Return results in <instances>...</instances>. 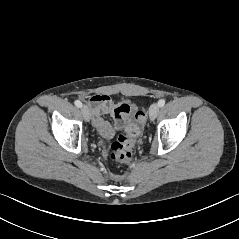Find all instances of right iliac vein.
Listing matches in <instances>:
<instances>
[{
  "mask_svg": "<svg viewBox=\"0 0 239 239\" xmlns=\"http://www.w3.org/2000/svg\"><path fill=\"white\" fill-rule=\"evenodd\" d=\"M81 111H82L84 120L87 121V122L90 121L91 114H90L89 108L86 105H83L81 107Z\"/></svg>",
  "mask_w": 239,
  "mask_h": 239,
  "instance_id": "obj_1",
  "label": "right iliac vein"
}]
</instances>
